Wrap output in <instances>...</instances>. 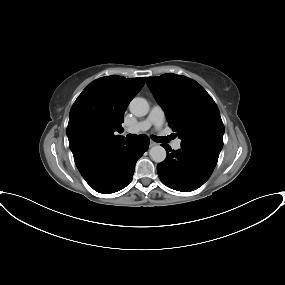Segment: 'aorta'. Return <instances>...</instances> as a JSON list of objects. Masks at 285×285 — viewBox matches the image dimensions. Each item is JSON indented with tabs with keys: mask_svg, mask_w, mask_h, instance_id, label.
<instances>
[{
	"mask_svg": "<svg viewBox=\"0 0 285 285\" xmlns=\"http://www.w3.org/2000/svg\"><path fill=\"white\" fill-rule=\"evenodd\" d=\"M130 112L137 116L143 117L149 112V104L146 99L141 97H135L129 104ZM149 155L154 162L160 163L163 162L166 158V150L160 145L153 146Z\"/></svg>",
	"mask_w": 285,
	"mask_h": 285,
	"instance_id": "obj_1",
	"label": "aorta"
}]
</instances>
